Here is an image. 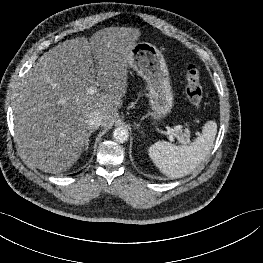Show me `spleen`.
<instances>
[{
  "label": "spleen",
  "mask_w": 263,
  "mask_h": 263,
  "mask_svg": "<svg viewBox=\"0 0 263 263\" xmlns=\"http://www.w3.org/2000/svg\"><path fill=\"white\" fill-rule=\"evenodd\" d=\"M217 133L215 121H208L202 133L190 144L175 146L166 141L151 145L148 154L156 167L167 177L181 178L190 174L208 156Z\"/></svg>",
  "instance_id": "3e777b00"
}]
</instances>
